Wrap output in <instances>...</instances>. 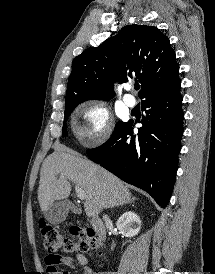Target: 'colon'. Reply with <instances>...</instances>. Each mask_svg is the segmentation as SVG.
<instances>
[{
  "instance_id": "obj_1",
  "label": "colon",
  "mask_w": 215,
  "mask_h": 274,
  "mask_svg": "<svg viewBox=\"0 0 215 274\" xmlns=\"http://www.w3.org/2000/svg\"><path fill=\"white\" fill-rule=\"evenodd\" d=\"M40 231L43 237L45 249L53 254L59 249L70 252L73 250L96 251L100 246L98 235L93 229L75 227L71 229V235L75 240L65 237L56 227L41 219Z\"/></svg>"
}]
</instances>
